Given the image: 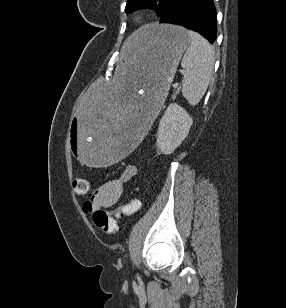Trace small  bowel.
<instances>
[{
  "instance_id": "1",
  "label": "small bowel",
  "mask_w": 286,
  "mask_h": 308,
  "mask_svg": "<svg viewBox=\"0 0 286 308\" xmlns=\"http://www.w3.org/2000/svg\"><path fill=\"white\" fill-rule=\"evenodd\" d=\"M136 174V167L128 165L118 177L104 181L87 195L82 206L83 211L90 214L97 209L115 206L124 192L125 184Z\"/></svg>"
}]
</instances>
